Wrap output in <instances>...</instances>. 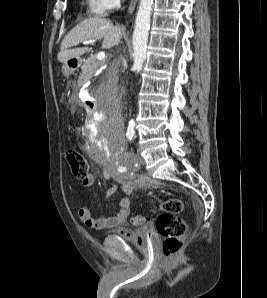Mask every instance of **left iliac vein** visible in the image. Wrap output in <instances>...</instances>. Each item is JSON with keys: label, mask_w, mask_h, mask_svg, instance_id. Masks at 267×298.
<instances>
[{"label": "left iliac vein", "mask_w": 267, "mask_h": 298, "mask_svg": "<svg viewBox=\"0 0 267 298\" xmlns=\"http://www.w3.org/2000/svg\"><path fill=\"white\" fill-rule=\"evenodd\" d=\"M140 164H145V159L142 156L138 157Z\"/></svg>", "instance_id": "1"}]
</instances>
